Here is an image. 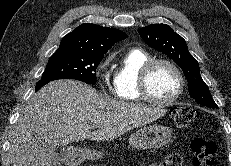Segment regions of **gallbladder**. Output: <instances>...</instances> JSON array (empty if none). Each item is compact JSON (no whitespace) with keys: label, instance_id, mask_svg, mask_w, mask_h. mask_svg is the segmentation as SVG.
<instances>
[{"label":"gallbladder","instance_id":"gallbladder-1","mask_svg":"<svg viewBox=\"0 0 231 166\" xmlns=\"http://www.w3.org/2000/svg\"><path fill=\"white\" fill-rule=\"evenodd\" d=\"M48 166H62V160L58 154L54 155Z\"/></svg>","mask_w":231,"mask_h":166}]
</instances>
